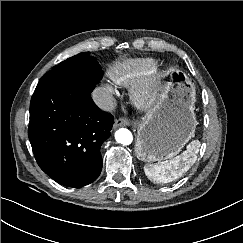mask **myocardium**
Segmentation results:
<instances>
[{
	"instance_id": "myocardium-1",
	"label": "myocardium",
	"mask_w": 243,
	"mask_h": 243,
	"mask_svg": "<svg viewBox=\"0 0 243 243\" xmlns=\"http://www.w3.org/2000/svg\"><path fill=\"white\" fill-rule=\"evenodd\" d=\"M156 84V77L153 76L151 79L147 80L145 83L140 84L135 91V98L139 102H146L148 101L152 94L153 89Z\"/></svg>"
}]
</instances>
